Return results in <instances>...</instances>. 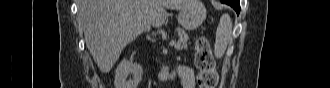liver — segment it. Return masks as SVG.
I'll return each mask as SVG.
<instances>
[{
    "mask_svg": "<svg viewBox=\"0 0 330 88\" xmlns=\"http://www.w3.org/2000/svg\"><path fill=\"white\" fill-rule=\"evenodd\" d=\"M190 0H80L78 17L85 42L99 69L107 73L122 50L151 27L162 26L166 9L181 10Z\"/></svg>",
    "mask_w": 330,
    "mask_h": 88,
    "instance_id": "obj_1",
    "label": "liver"
}]
</instances>
